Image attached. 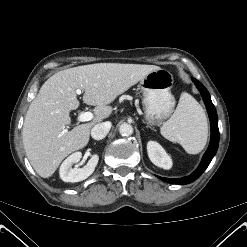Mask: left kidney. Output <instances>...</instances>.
Returning a JSON list of instances; mask_svg holds the SVG:
<instances>
[{
	"mask_svg": "<svg viewBox=\"0 0 247 247\" xmlns=\"http://www.w3.org/2000/svg\"><path fill=\"white\" fill-rule=\"evenodd\" d=\"M147 152L151 162L163 169L169 170L172 167V159L164 148L156 141L147 143Z\"/></svg>",
	"mask_w": 247,
	"mask_h": 247,
	"instance_id": "1",
	"label": "left kidney"
}]
</instances>
